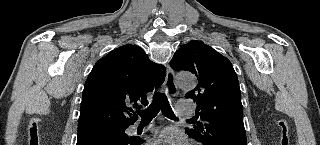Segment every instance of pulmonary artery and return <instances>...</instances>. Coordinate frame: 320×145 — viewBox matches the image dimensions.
I'll use <instances>...</instances> for the list:
<instances>
[{"label":"pulmonary artery","mask_w":320,"mask_h":145,"mask_svg":"<svg viewBox=\"0 0 320 145\" xmlns=\"http://www.w3.org/2000/svg\"><path fill=\"white\" fill-rule=\"evenodd\" d=\"M176 113L178 116L188 117L193 114V107L189 101H179L176 105ZM137 129L136 126L130 128V131L133 132Z\"/></svg>","instance_id":"pulmonary-artery-1"}]
</instances>
